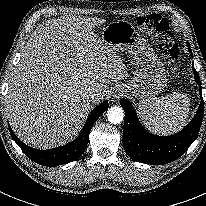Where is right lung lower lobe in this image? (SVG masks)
Segmentation results:
<instances>
[{"mask_svg": "<svg viewBox=\"0 0 206 206\" xmlns=\"http://www.w3.org/2000/svg\"><path fill=\"white\" fill-rule=\"evenodd\" d=\"M107 108L108 101L95 107L87 118L79 136L74 141L51 150H38L27 146L18 139L8 124L9 131L13 140L32 161L49 167L62 165L77 160L83 154L87 146L89 133L93 124Z\"/></svg>", "mask_w": 206, "mask_h": 206, "instance_id": "98d812e1", "label": "right lung lower lobe"}]
</instances>
